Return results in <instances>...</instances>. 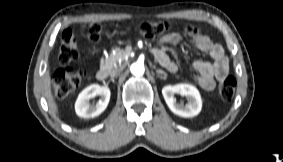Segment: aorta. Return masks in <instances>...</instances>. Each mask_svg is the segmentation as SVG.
<instances>
[{
	"mask_svg": "<svg viewBox=\"0 0 283 162\" xmlns=\"http://www.w3.org/2000/svg\"><path fill=\"white\" fill-rule=\"evenodd\" d=\"M130 71L135 76H141L144 74L145 68L144 65L140 62H135L131 65Z\"/></svg>",
	"mask_w": 283,
	"mask_h": 162,
	"instance_id": "762f6f07",
	"label": "aorta"
}]
</instances>
